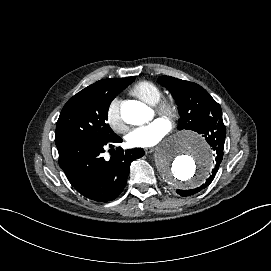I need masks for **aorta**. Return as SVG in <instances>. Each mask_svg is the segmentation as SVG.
<instances>
[{"mask_svg":"<svg viewBox=\"0 0 271 271\" xmlns=\"http://www.w3.org/2000/svg\"><path fill=\"white\" fill-rule=\"evenodd\" d=\"M122 119L140 125L150 118L149 109L139 101H127L121 107ZM161 177L175 188H195L203 183L213 166L211 150L194 133H181L166 140L155 153Z\"/></svg>","mask_w":271,"mask_h":271,"instance_id":"obj_1","label":"aorta"}]
</instances>
